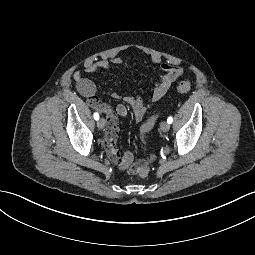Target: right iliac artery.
I'll use <instances>...</instances> for the list:
<instances>
[{
  "label": "right iliac artery",
  "mask_w": 255,
  "mask_h": 255,
  "mask_svg": "<svg viewBox=\"0 0 255 255\" xmlns=\"http://www.w3.org/2000/svg\"><path fill=\"white\" fill-rule=\"evenodd\" d=\"M94 119L98 120L99 119V114L98 113H94Z\"/></svg>",
  "instance_id": "right-iliac-artery-1"
}]
</instances>
